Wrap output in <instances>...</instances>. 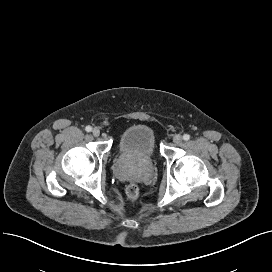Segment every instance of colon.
I'll use <instances>...</instances> for the list:
<instances>
[{
  "label": "colon",
  "mask_w": 272,
  "mask_h": 272,
  "mask_svg": "<svg viewBox=\"0 0 272 272\" xmlns=\"http://www.w3.org/2000/svg\"><path fill=\"white\" fill-rule=\"evenodd\" d=\"M140 195L139 187L135 184H130L126 188V196L131 202H135Z\"/></svg>",
  "instance_id": "colon-1"
}]
</instances>
